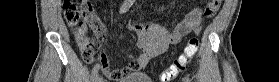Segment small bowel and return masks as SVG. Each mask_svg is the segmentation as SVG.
<instances>
[{
	"label": "small bowel",
	"mask_w": 279,
	"mask_h": 82,
	"mask_svg": "<svg viewBox=\"0 0 279 82\" xmlns=\"http://www.w3.org/2000/svg\"><path fill=\"white\" fill-rule=\"evenodd\" d=\"M219 7L220 4H209L203 11L200 8H193L180 23L174 26L152 25L134 21L129 22V26L138 34V47L141 53L125 67L110 69L108 66L109 59L106 53L102 52L100 63H98L101 71L109 80L117 81L129 73L141 70L150 60L164 54L170 45L179 43L188 33H199L205 23V19L213 16ZM92 29L95 34L93 39H88L85 34L78 37V31L74 30V35L80 50L83 52L86 48H90L88 59L83 57L88 63H93L94 53L102 46L107 34L106 28L101 21L98 27H93ZM114 74H118V77Z\"/></svg>",
	"instance_id": "c3829d8e"
}]
</instances>
